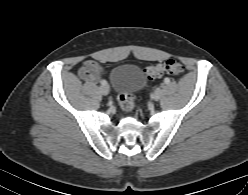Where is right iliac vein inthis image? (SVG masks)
<instances>
[{
	"label": "right iliac vein",
	"instance_id": "obj_1",
	"mask_svg": "<svg viewBox=\"0 0 248 195\" xmlns=\"http://www.w3.org/2000/svg\"><path fill=\"white\" fill-rule=\"evenodd\" d=\"M99 91L102 95H107L109 93V87L107 85L100 86Z\"/></svg>",
	"mask_w": 248,
	"mask_h": 195
}]
</instances>
